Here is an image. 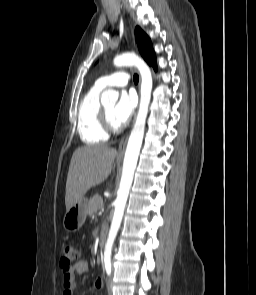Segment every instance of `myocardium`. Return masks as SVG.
<instances>
[{
    "instance_id": "1",
    "label": "myocardium",
    "mask_w": 256,
    "mask_h": 295,
    "mask_svg": "<svg viewBox=\"0 0 256 295\" xmlns=\"http://www.w3.org/2000/svg\"><path fill=\"white\" fill-rule=\"evenodd\" d=\"M100 121L106 133H117L119 131V127L112 123L104 106L100 110Z\"/></svg>"
}]
</instances>
